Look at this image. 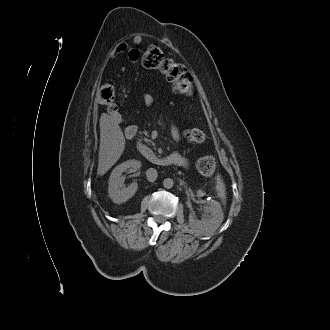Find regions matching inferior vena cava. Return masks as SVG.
Wrapping results in <instances>:
<instances>
[{"instance_id":"602c4592","label":"inferior vena cava","mask_w":330,"mask_h":330,"mask_svg":"<svg viewBox=\"0 0 330 330\" xmlns=\"http://www.w3.org/2000/svg\"><path fill=\"white\" fill-rule=\"evenodd\" d=\"M146 176H147V180L149 182H154L157 177H158V173H157V170L154 169V168H150L146 171Z\"/></svg>"}]
</instances>
